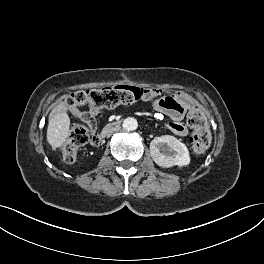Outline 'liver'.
<instances>
[{
  "label": "liver",
  "instance_id": "6515ba94",
  "mask_svg": "<svg viewBox=\"0 0 264 264\" xmlns=\"http://www.w3.org/2000/svg\"><path fill=\"white\" fill-rule=\"evenodd\" d=\"M70 119L65 111L53 110L49 116L47 141L52 148L60 147L69 134Z\"/></svg>",
  "mask_w": 264,
  "mask_h": 264
}]
</instances>
